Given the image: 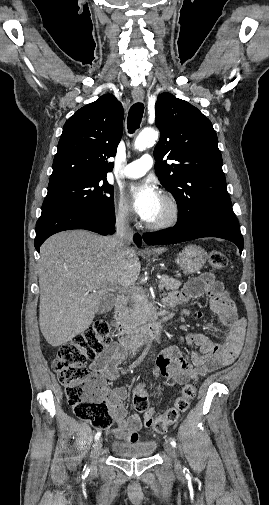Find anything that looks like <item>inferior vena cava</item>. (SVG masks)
<instances>
[{
  "mask_svg": "<svg viewBox=\"0 0 269 505\" xmlns=\"http://www.w3.org/2000/svg\"><path fill=\"white\" fill-rule=\"evenodd\" d=\"M116 237L119 240L120 245L124 247L129 246L133 240V231L125 214H120L117 217Z\"/></svg>",
  "mask_w": 269,
  "mask_h": 505,
  "instance_id": "602c4592",
  "label": "inferior vena cava"
}]
</instances>
